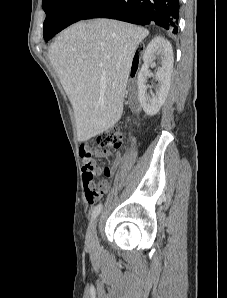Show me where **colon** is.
Here are the masks:
<instances>
[{
  "mask_svg": "<svg viewBox=\"0 0 227 298\" xmlns=\"http://www.w3.org/2000/svg\"><path fill=\"white\" fill-rule=\"evenodd\" d=\"M97 144L101 149H120L123 145V132L118 127H113L97 138ZM85 196L88 203L93 204L99 199V194L96 189H86Z\"/></svg>",
  "mask_w": 227,
  "mask_h": 298,
  "instance_id": "colon-1",
  "label": "colon"
}]
</instances>
